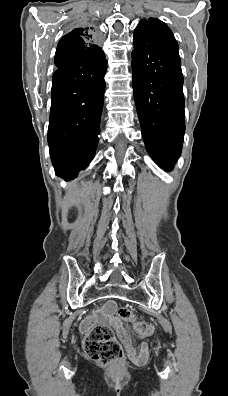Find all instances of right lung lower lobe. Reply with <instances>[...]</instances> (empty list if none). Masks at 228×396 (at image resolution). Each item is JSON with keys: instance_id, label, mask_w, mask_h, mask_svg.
<instances>
[{"instance_id": "obj_1", "label": "right lung lower lobe", "mask_w": 228, "mask_h": 396, "mask_svg": "<svg viewBox=\"0 0 228 396\" xmlns=\"http://www.w3.org/2000/svg\"><path fill=\"white\" fill-rule=\"evenodd\" d=\"M95 45V44H94ZM48 144L56 175L74 179L95 156L107 60L99 46L57 48Z\"/></svg>"}]
</instances>
